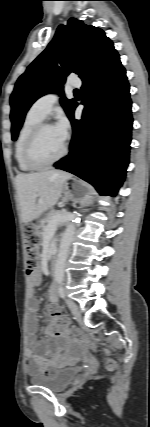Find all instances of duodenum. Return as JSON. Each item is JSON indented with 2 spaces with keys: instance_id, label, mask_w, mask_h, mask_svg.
<instances>
[{
  "instance_id": "1",
  "label": "duodenum",
  "mask_w": 150,
  "mask_h": 427,
  "mask_svg": "<svg viewBox=\"0 0 150 427\" xmlns=\"http://www.w3.org/2000/svg\"><path fill=\"white\" fill-rule=\"evenodd\" d=\"M56 262H57V252L54 251V257H53L52 262H51L52 268H54L56 266Z\"/></svg>"
}]
</instances>
